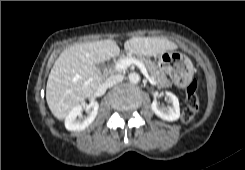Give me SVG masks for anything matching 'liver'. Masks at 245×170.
Listing matches in <instances>:
<instances>
[{"label": "liver", "instance_id": "obj_1", "mask_svg": "<svg viewBox=\"0 0 245 170\" xmlns=\"http://www.w3.org/2000/svg\"><path fill=\"white\" fill-rule=\"evenodd\" d=\"M175 47V43L160 37H134L124 42L125 51L144 56H155ZM119 53L114 40L78 43L64 49L50 71L46 86V101L52 114L63 120L76 105L90 97L104 79L96 65Z\"/></svg>", "mask_w": 245, "mask_h": 170}]
</instances>
